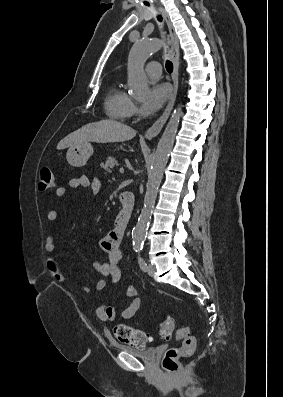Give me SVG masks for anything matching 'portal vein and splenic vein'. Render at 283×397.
Wrapping results in <instances>:
<instances>
[{
    "label": "portal vein and splenic vein",
    "mask_w": 283,
    "mask_h": 397,
    "mask_svg": "<svg viewBox=\"0 0 283 397\" xmlns=\"http://www.w3.org/2000/svg\"><path fill=\"white\" fill-rule=\"evenodd\" d=\"M119 172H120L121 174H123V173H124V169H123V168H120V169H119Z\"/></svg>",
    "instance_id": "18ae733b"
}]
</instances>
